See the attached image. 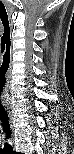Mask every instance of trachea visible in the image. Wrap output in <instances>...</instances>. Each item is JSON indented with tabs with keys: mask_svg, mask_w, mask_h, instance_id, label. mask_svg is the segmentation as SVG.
<instances>
[{
	"mask_svg": "<svg viewBox=\"0 0 74 154\" xmlns=\"http://www.w3.org/2000/svg\"><path fill=\"white\" fill-rule=\"evenodd\" d=\"M0 116H1V120L3 122L2 124H3L4 132L6 133V135H9V133H10V125H9V121H8V114L4 110V108H3V110H1Z\"/></svg>",
	"mask_w": 74,
	"mask_h": 154,
	"instance_id": "1",
	"label": "trachea"
}]
</instances>
